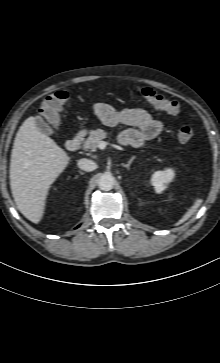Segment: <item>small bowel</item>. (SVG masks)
<instances>
[{"instance_id":"obj_1","label":"small bowel","mask_w":220,"mask_h":363,"mask_svg":"<svg viewBox=\"0 0 220 363\" xmlns=\"http://www.w3.org/2000/svg\"><path fill=\"white\" fill-rule=\"evenodd\" d=\"M93 111L106 125L122 124L128 126L120 135V142L133 147H141L146 141L157 138L164 130L161 121L153 118L142 108H124L114 110L105 103H96Z\"/></svg>"}]
</instances>
